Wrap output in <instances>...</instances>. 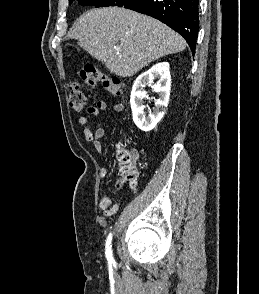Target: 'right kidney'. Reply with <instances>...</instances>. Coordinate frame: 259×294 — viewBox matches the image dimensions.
<instances>
[{"mask_svg":"<svg viewBox=\"0 0 259 294\" xmlns=\"http://www.w3.org/2000/svg\"><path fill=\"white\" fill-rule=\"evenodd\" d=\"M155 79H158L156 83H154ZM151 84H153L154 91L159 94V98L155 100L153 111L146 116L143 99L147 98V93L144 88ZM170 89L171 75L168 62L157 63L137 77L132 87L130 104L133 121L139 129L145 132L151 131L163 118L169 102Z\"/></svg>","mask_w":259,"mask_h":294,"instance_id":"ca27d5eb","label":"right kidney"}]
</instances>
